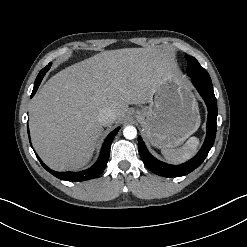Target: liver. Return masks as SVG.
<instances>
[{"label": "liver", "instance_id": "1", "mask_svg": "<svg viewBox=\"0 0 247 247\" xmlns=\"http://www.w3.org/2000/svg\"><path fill=\"white\" fill-rule=\"evenodd\" d=\"M171 70L169 60L152 48L104 51L51 77L33 97L29 110L32 144L51 169L86 165L103 130V109L124 119L130 104H144Z\"/></svg>", "mask_w": 247, "mask_h": 247}]
</instances>
